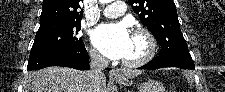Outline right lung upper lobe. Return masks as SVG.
Masks as SVG:
<instances>
[{"instance_id":"right-lung-upper-lobe-1","label":"right lung upper lobe","mask_w":225,"mask_h":92,"mask_svg":"<svg viewBox=\"0 0 225 92\" xmlns=\"http://www.w3.org/2000/svg\"><path fill=\"white\" fill-rule=\"evenodd\" d=\"M83 0H43L40 24L47 22H80Z\"/></svg>"}]
</instances>
